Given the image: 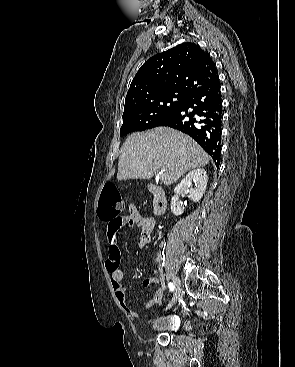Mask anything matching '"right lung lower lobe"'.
Returning <instances> with one entry per match:
<instances>
[{"instance_id": "1", "label": "right lung lower lobe", "mask_w": 295, "mask_h": 367, "mask_svg": "<svg viewBox=\"0 0 295 367\" xmlns=\"http://www.w3.org/2000/svg\"><path fill=\"white\" fill-rule=\"evenodd\" d=\"M222 100L219 77L191 93L180 108L151 128L168 126L191 136L213 158L217 168L221 152Z\"/></svg>"}]
</instances>
